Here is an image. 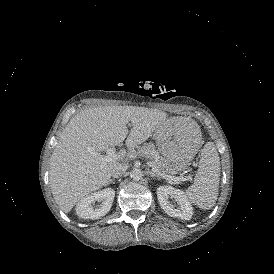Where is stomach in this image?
Wrapping results in <instances>:
<instances>
[{
  "label": "stomach",
  "instance_id": "obj_1",
  "mask_svg": "<svg viewBox=\"0 0 274 274\" xmlns=\"http://www.w3.org/2000/svg\"><path fill=\"white\" fill-rule=\"evenodd\" d=\"M171 121V118L167 119ZM196 122L183 121L180 124L172 123L165 130L156 131L155 137L159 151L171 162V168L175 171L185 170L195 153L200 141L198 135L199 127L193 129Z\"/></svg>",
  "mask_w": 274,
  "mask_h": 274
}]
</instances>
